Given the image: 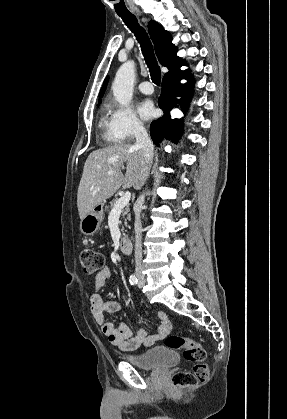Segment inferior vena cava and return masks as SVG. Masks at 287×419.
Here are the masks:
<instances>
[{"mask_svg":"<svg viewBox=\"0 0 287 419\" xmlns=\"http://www.w3.org/2000/svg\"><path fill=\"white\" fill-rule=\"evenodd\" d=\"M135 138H136V147L141 148L143 151V156L146 163L149 165L153 159V143L142 125H137L135 127ZM149 166L146 171V178L148 177ZM146 180V179H145ZM144 204V195L142 194L136 203L135 208V274L137 276H142V224L140 214L142 211V206Z\"/></svg>","mask_w":287,"mask_h":419,"instance_id":"602c4592","label":"inferior vena cava"}]
</instances>
